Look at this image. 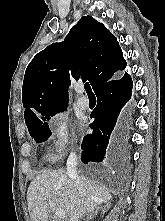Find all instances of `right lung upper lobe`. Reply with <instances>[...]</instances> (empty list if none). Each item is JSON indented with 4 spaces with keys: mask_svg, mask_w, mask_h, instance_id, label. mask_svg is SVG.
<instances>
[{
    "mask_svg": "<svg viewBox=\"0 0 165 221\" xmlns=\"http://www.w3.org/2000/svg\"><path fill=\"white\" fill-rule=\"evenodd\" d=\"M125 67L114 35L93 17L83 16L63 42L49 45L28 65L22 87L26 124L45 113L65 108L71 79H86L95 91L120 77Z\"/></svg>",
    "mask_w": 165,
    "mask_h": 221,
    "instance_id": "obj_1",
    "label": "right lung upper lobe"
}]
</instances>
